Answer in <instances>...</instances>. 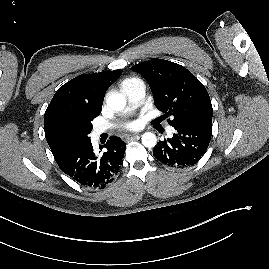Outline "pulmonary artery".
<instances>
[{"label":"pulmonary artery","mask_w":269,"mask_h":269,"mask_svg":"<svg viewBox=\"0 0 269 269\" xmlns=\"http://www.w3.org/2000/svg\"><path fill=\"white\" fill-rule=\"evenodd\" d=\"M121 91L122 93L127 97L129 106L127 110H132L138 105H140L145 97V85L141 80H134L128 83H125L121 86ZM107 127L106 126H101L98 127L95 130V134H100L103 131H105ZM168 132L172 133L173 128L169 127Z\"/></svg>","instance_id":"e3ab8cb5"}]
</instances>
